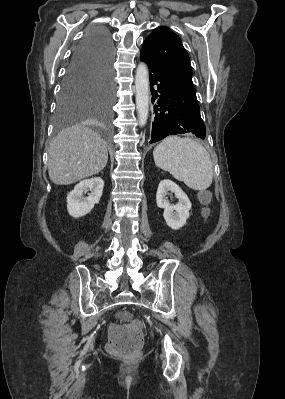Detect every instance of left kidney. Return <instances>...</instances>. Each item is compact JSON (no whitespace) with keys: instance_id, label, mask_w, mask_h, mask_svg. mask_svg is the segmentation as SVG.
Returning <instances> with one entry per match:
<instances>
[{"instance_id":"1","label":"left kidney","mask_w":285,"mask_h":399,"mask_svg":"<svg viewBox=\"0 0 285 399\" xmlns=\"http://www.w3.org/2000/svg\"><path fill=\"white\" fill-rule=\"evenodd\" d=\"M169 191L173 192L178 199V203L175 205H171L166 199ZM156 203L159 208L164 209L163 217L170 228L178 230L186 224V220L189 218L191 202L176 183L169 179L162 180L157 189Z\"/></svg>"}]
</instances>
